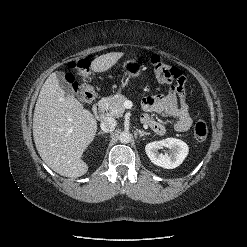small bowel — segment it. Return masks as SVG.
I'll return each mask as SVG.
<instances>
[{"label": "small bowel", "instance_id": "c3829d8e", "mask_svg": "<svg viewBox=\"0 0 247 247\" xmlns=\"http://www.w3.org/2000/svg\"><path fill=\"white\" fill-rule=\"evenodd\" d=\"M142 108L145 112H155L164 117L174 119V129L177 132H186L191 127L192 119L189 114V106L186 102V93L183 84L177 85L167 94L143 98ZM141 121L156 134L163 135L165 133V127L150 115H143Z\"/></svg>", "mask_w": 247, "mask_h": 247}]
</instances>
